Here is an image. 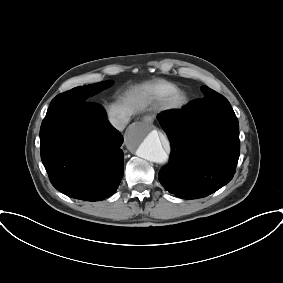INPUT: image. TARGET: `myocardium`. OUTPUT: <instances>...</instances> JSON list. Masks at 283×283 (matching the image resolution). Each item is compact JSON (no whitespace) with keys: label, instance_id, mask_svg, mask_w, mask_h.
I'll return each instance as SVG.
<instances>
[{"label":"myocardium","instance_id":"f54148a6","mask_svg":"<svg viewBox=\"0 0 283 283\" xmlns=\"http://www.w3.org/2000/svg\"><path fill=\"white\" fill-rule=\"evenodd\" d=\"M187 102V97L184 92L174 90L165 95L163 107L168 110H176L183 107Z\"/></svg>","mask_w":283,"mask_h":283}]
</instances>
